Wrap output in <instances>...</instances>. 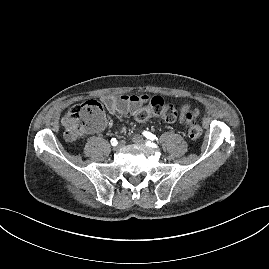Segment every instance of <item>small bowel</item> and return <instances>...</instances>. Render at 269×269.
<instances>
[{
  "mask_svg": "<svg viewBox=\"0 0 269 269\" xmlns=\"http://www.w3.org/2000/svg\"><path fill=\"white\" fill-rule=\"evenodd\" d=\"M148 100L147 96H138V95H120V96H105L102 98V104L105 108L111 113L116 114H128L136 113L138 109ZM191 107L188 104H185L181 107L182 116L179 118V122L183 123L184 114L187 111H190ZM192 113L194 116L199 114L198 109H193ZM105 123L100 127L104 128ZM99 129V130H100Z\"/></svg>",
  "mask_w": 269,
  "mask_h": 269,
  "instance_id": "c3829d8e",
  "label": "small bowel"
}]
</instances>
